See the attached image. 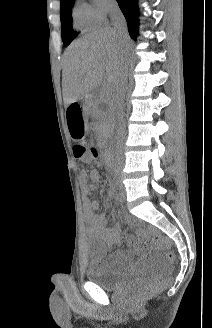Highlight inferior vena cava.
Segmentation results:
<instances>
[{
	"label": "inferior vena cava",
	"instance_id": "1",
	"mask_svg": "<svg viewBox=\"0 0 212 328\" xmlns=\"http://www.w3.org/2000/svg\"><path fill=\"white\" fill-rule=\"evenodd\" d=\"M109 15L111 17L114 30L119 38H125L127 36V26L125 18L116 4L111 5L109 9ZM126 92V77L123 71L118 73V76L114 83V88L111 93V107L115 117V123L117 128V146L121 147L124 141L125 135V122H124V97ZM125 164L122 162V156L118 155L116 165L114 167V177L119 179L124 174Z\"/></svg>",
	"mask_w": 212,
	"mask_h": 328
}]
</instances>
